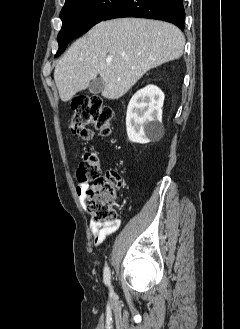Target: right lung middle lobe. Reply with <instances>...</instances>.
Listing matches in <instances>:
<instances>
[{
    "label": "right lung middle lobe",
    "instance_id": "obj_1",
    "mask_svg": "<svg viewBox=\"0 0 240 329\" xmlns=\"http://www.w3.org/2000/svg\"><path fill=\"white\" fill-rule=\"evenodd\" d=\"M122 0H74L62 8L60 18L62 29L58 34L59 49L55 57L60 55L67 44L74 38L86 33Z\"/></svg>",
    "mask_w": 240,
    "mask_h": 329
}]
</instances>
